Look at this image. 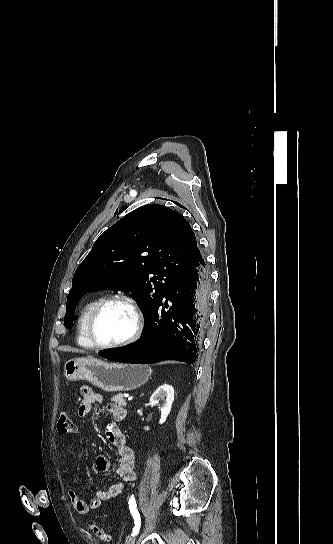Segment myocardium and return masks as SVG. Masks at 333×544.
Returning a JSON list of instances; mask_svg holds the SVG:
<instances>
[{"label":"myocardium","mask_w":333,"mask_h":544,"mask_svg":"<svg viewBox=\"0 0 333 544\" xmlns=\"http://www.w3.org/2000/svg\"><path fill=\"white\" fill-rule=\"evenodd\" d=\"M115 301L124 302L131 308L135 318V326L131 335L126 339L116 343H101L97 340L95 335V323L104 307ZM143 328L144 315L138 302L130 295L118 293L100 299V301L95 305L87 319L86 334L93 347L98 349H116L134 343L142 334Z\"/></svg>","instance_id":"myocardium-1"}]
</instances>
